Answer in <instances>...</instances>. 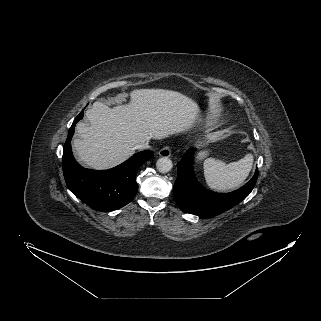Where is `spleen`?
<instances>
[{"instance_id":"3e777b00","label":"spleen","mask_w":321,"mask_h":321,"mask_svg":"<svg viewBox=\"0 0 321 321\" xmlns=\"http://www.w3.org/2000/svg\"><path fill=\"white\" fill-rule=\"evenodd\" d=\"M253 160L252 154H247L239 161L228 164L214 158L206 159L203 167L207 185L218 191H227L238 187L248 177Z\"/></svg>"}]
</instances>
